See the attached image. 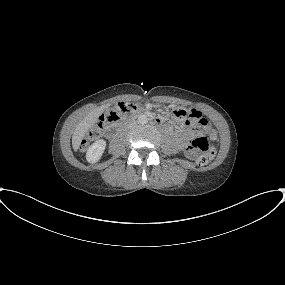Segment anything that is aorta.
Segmentation results:
<instances>
[{
	"label": "aorta",
	"instance_id": "aorta-1",
	"mask_svg": "<svg viewBox=\"0 0 285 285\" xmlns=\"http://www.w3.org/2000/svg\"><path fill=\"white\" fill-rule=\"evenodd\" d=\"M138 122L140 124H146L148 122V118L146 115L142 114L138 117Z\"/></svg>",
	"mask_w": 285,
	"mask_h": 285
}]
</instances>
